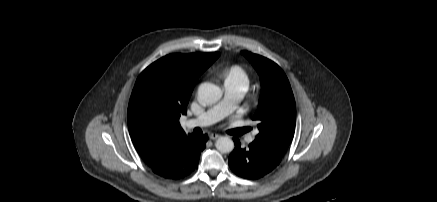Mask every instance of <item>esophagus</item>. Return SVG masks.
<instances>
[{"label": "esophagus", "mask_w": 437, "mask_h": 202, "mask_svg": "<svg viewBox=\"0 0 437 202\" xmlns=\"http://www.w3.org/2000/svg\"><path fill=\"white\" fill-rule=\"evenodd\" d=\"M209 138H210L211 140H216V139L220 138V135L217 134V133H211V134L209 135Z\"/></svg>", "instance_id": "obj_1"}]
</instances>
